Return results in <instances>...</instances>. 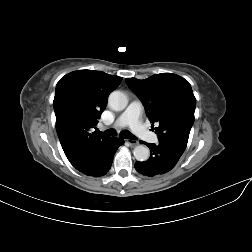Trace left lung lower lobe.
Wrapping results in <instances>:
<instances>
[{
  "label": "left lung lower lobe",
  "instance_id": "0a47b994",
  "mask_svg": "<svg viewBox=\"0 0 252 252\" xmlns=\"http://www.w3.org/2000/svg\"><path fill=\"white\" fill-rule=\"evenodd\" d=\"M150 149L147 161L136 162L135 169L142 175L154 177L170 171L178 162L185 149L168 142L159 141L157 144L146 143Z\"/></svg>",
  "mask_w": 252,
  "mask_h": 252
}]
</instances>
